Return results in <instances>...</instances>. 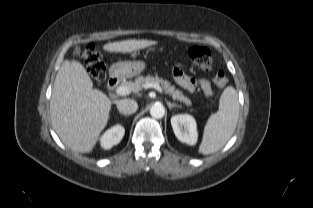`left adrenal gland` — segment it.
<instances>
[{
	"label": "left adrenal gland",
	"instance_id": "a2214340",
	"mask_svg": "<svg viewBox=\"0 0 313 208\" xmlns=\"http://www.w3.org/2000/svg\"><path fill=\"white\" fill-rule=\"evenodd\" d=\"M169 109L171 110L173 107H181L180 105H177L175 103H171L170 101H166Z\"/></svg>",
	"mask_w": 313,
	"mask_h": 208
}]
</instances>
